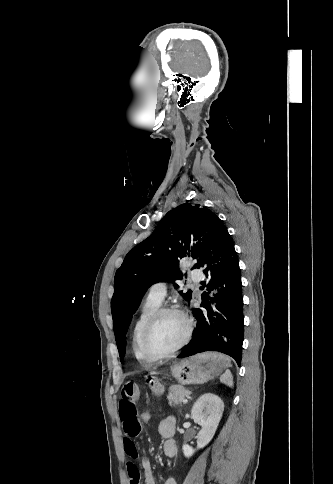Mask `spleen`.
<instances>
[{
  "label": "spleen",
  "mask_w": 333,
  "mask_h": 484,
  "mask_svg": "<svg viewBox=\"0 0 333 484\" xmlns=\"http://www.w3.org/2000/svg\"><path fill=\"white\" fill-rule=\"evenodd\" d=\"M220 381L229 386V387H233V376L231 374V372L229 370H227L221 377H220Z\"/></svg>",
  "instance_id": "spleen-1"
}]
</instances>
